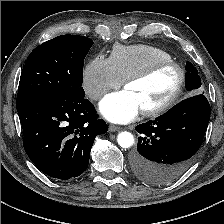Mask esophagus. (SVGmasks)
<instances>
[{"mask_svg": "<svg viewBox=\"0 0 224 224\" xmlns=\"http://www.w3.org/2000/svg\"><path fill=\"white\" fill-rule=\"evenodd\" d=\"M121 130V127L119 126H115V125H110L109 126V131L110 132H116V131H120Z\"/></svg>", "mask_w": 224, "mask_h": 224, "instance_id": "34e87169", "label": "esophagus"}]
</instances>
